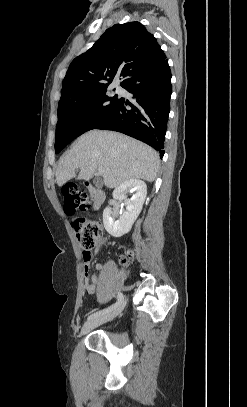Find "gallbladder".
<instances>
[{"mask_svg": "<svg viewBox=\"0 0 247 407\" xmlns=\"http://www.w3.org/2000/svg\"><path fill=\"white\" fill-rule=\"evenodd\" d=\"M94 184H95L97 187H99V186H100V181L97 179V180H95Z\"/></svg>", "mask_w": 247, "mask_h": 407, "instance_id": "bac80fb5", "label": "gallbladder"}]
</instances>
